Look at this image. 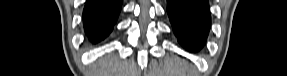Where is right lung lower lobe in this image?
Instances as JSON below:
<instances>
[{"instance_id": "1", "label": "right lung lower lobe", "mask_w": 287, "mask_h": 76, "mask_svg": "<svg viewBox=\"0 0 287 76\" xmlns=\"http://www.w3.org/2000/svg\"><path fill=\"white\" fill-rule=\"evenodd\" d=\"M121 6L122 0H86L83 22L85 32L93 43L110 34Z\"/></svg>"}]
</instances>
